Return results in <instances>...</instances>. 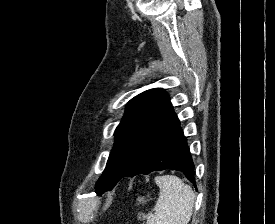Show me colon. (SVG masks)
<instances>
[{
  "instance_id": "obj_1",
  "label": "colon",
  "mask_w": 275,
  "mask_h": 224,
  "mask_svg": "<svg viewBox=\"0 0 275 224\" xmlns=\"http://www.w3.org/2000/svg\"><path fill=\"white\" fill-rule=\"evenodd\" d=\"M139 201L141 203H145L147 201V197L146 196H142V197L139 198Z\"/></svg>"
}]
</instances>
